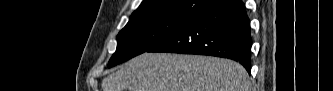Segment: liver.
Listing matches in <instances>:
<instances>
[{"label": "liver", "instance_id": "1", "mask_svg": "<svg viewBox=\"0 0 333 91\" xmlns=\"http://www.w3.org/2000/svg\"><path fill=\"white\" fill-rule=\"evenodd\" d=\"M247 71L228 59L143 53L102 81V91H249Z\"/></svg>", "mask_w": 333, "mask_h": 91}]
</instances>
